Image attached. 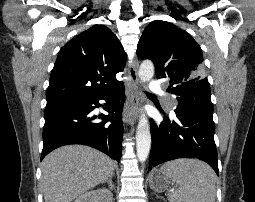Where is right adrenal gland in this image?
<instances>
[{
    "instance_id": "obj_1",
    "label": "right adrenal gland",
    "mask_w": 255,
    "mask_h": 202,
    "mask_svg": "<svg viewBox=\"0 0 255 202\" xmlns=\"http://www.w3.org/2000/svg\"><path fill=\"white\" fill-rule=\"evenodd\" d=\"M104 183H107L108 184V188L110 190H115V185L113 184V181H112V177H110L107 181L103 182L102 185Z\"/></svg>"
}]
</instances>
